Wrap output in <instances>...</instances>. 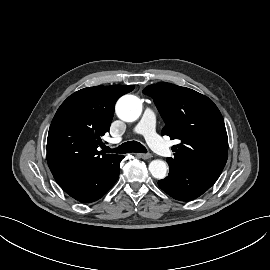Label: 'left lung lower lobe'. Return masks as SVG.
Here are the masks:
<instances>
[{"mask_svg": "<svg viewBox=\"0 0 270 270\" xmlns=\"http://www.w3.org/2000/svg\"><path fill=\"white\" fill-rule=\"evenodd\" d=\"M169 167V175L159 180L158 185L168 195L181 201L201 196L219 177L199 169L178 167L173 164H169Z\"/></svg>", "mask_w": 270, "mask_h": 270, "instance_id": "1", "label": "left lung lower lobe"}]
</instances>
